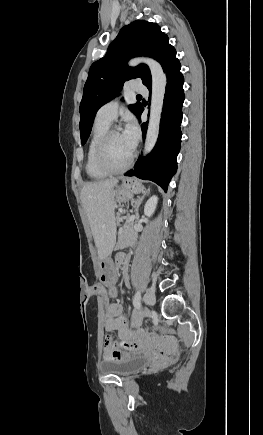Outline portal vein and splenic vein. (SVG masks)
<instances>
[{"label":"portal vein and splenic vein","mask_w":263,"mask_h":435,"mask_svg":"<svg viewBox=\"0 0 263 435\" xmlns=\"http://www.w3.org/2000/svg\"><path fill=\"white\" fill-rule=\"evenodd\" d=\"M134 219H135V217H134V216H130V217H129V219H128V222H133V221H134Z\"/></svg>","instance_id":"18ae733b"}]
</instances>
